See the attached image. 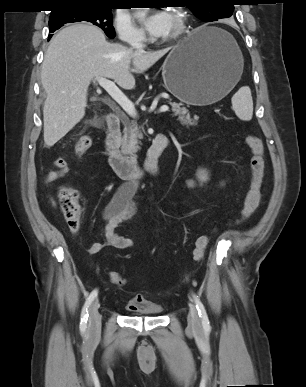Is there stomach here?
<instances>
[{"mask_svg":"<svg viewBox=\"0 0 306 387\" xmlns=\"http://www.w3.org/2000/svg\"><path fill=\"white\" fill-rule=\"evenodd\" d=\"M243 55L226 31L202 26L175 46L162 66L168 91L184 103L205 106L224 98L240 80Z\"/></svg>","mask_w":306,"mask_h":387,"instance_id":"0dacf381","label":"stomach"}]
</instances>
